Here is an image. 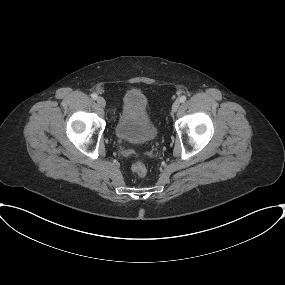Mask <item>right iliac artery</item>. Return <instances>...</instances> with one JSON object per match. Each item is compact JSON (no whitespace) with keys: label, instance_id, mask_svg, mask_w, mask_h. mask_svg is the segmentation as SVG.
Here are the masks:
<instances>
[{"label":"right iliac artery","instance_id":"obj_1","mask_svg":"<svg viewBox=\"0 0 285 285\" xmlns=\"http://www.w3.org/2000/svg\"><path fill=\"white\" fill-rule=\"evenodd\" d=\"M91 97H92L94 100H96V99L98 98V96H97L96 93H93V94L91 95Z\"/></svg>","mask_w":285,"mask_h":285}]
</instances>
